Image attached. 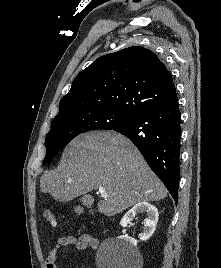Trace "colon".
<instances>
[{
  "instance_id": "5ec220e1",
  "label": "colon",
  "mask_w": 221,
  "mask_h": 268,
  "mask_svg": "<svg viewBox=\"0 0 221 268\" xmlns=\"http://www.w3.org/2000/svg\"><path fill=\"white\" fill-rule=\"evenodd\" d=\"M42 216L44 217V219L49 222L52 226H56L57 225V220L56 217L54 215V213L49 210V209H45L42 211Z\"/></svg>"
}]
</instances>
